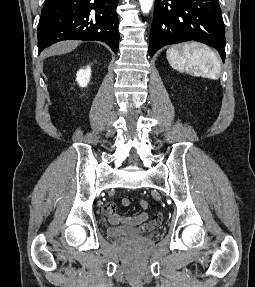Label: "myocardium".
<instances>
[{
    "mask_svg": "<svg viewBox=\"0 0 255 287\" xmlns=\"http://www.w3.org/2000/svg\"><path fill=\"white\" fill-rule=\"evenodd\" d=\"M161 48H170V47H161Z\"/></svg>",
    "mask_w": 255,
    "mask_h": 287,
    "instance_id": "1",
    "label": "myocardium"
}]
</instances>
